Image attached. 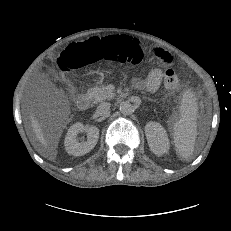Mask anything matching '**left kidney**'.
<instances>
[{
	"label": "left kidney",
	"mask_w": 231,
	"mask_h": 231,
	"mask_svg": "<svg viewBox=\"0 0 231 231\" xmlns=\"http://www.w3.org/2000/svg\"><path fill=\"white\" fill-rule=\"evenodd\" d=\"M145 134L150 150L157 156H161L169 150V139L166 130L157 122H149L145 125Z\"/></svg>",
	"instance_id": "obj_1"
}]
</instances>
